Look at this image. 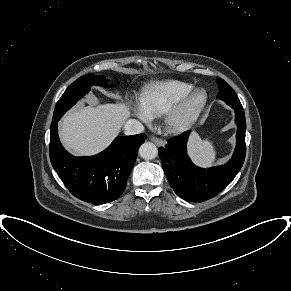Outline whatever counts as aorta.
Wrapping results in <instances>:
<instances>
[{
    "label": "aorta",
    "instance_id": "obj_1",
    "mask_svg": "<svg viewBox=\"0 0 291 291\" xmlns=\"http://www.w3.org/2000/svg\"><path fill=\"white\" fill-rule=\"evenodd\" d=\"M139 154L145 160H152L157 157L158 149L155 144L151 142H145L140 146Z\"/></svg>",
    "mask_w": 291,
    "mask_h": 291
}]
</instances>
